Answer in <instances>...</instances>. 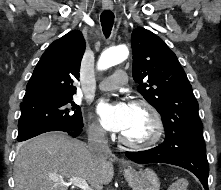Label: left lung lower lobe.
I'll list each match as a JSON object with an SVG mask.
<instances>
[{
    "instance_id": "left-lung-lower-lobe-1",
    "label": "left lung lower lobe",
    "mask_w": 221,
    "mask_h": 190,
    "mask_svg": "<svg viewBox=\"0 0 221 190\" xmlns=\"http://www.w3.org/2000/svg\"><path fill=\"white\" fill-rule=\"evenodd\" d=\"M165 141L159 146L139 152H126L127 158L139 163H168L183 167L194 173L205 190H208L209 165L206 148L196 145H176L174 136L165 133Z\"/></svg>"
}]
</instances>
